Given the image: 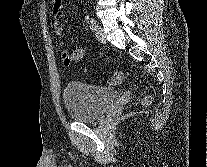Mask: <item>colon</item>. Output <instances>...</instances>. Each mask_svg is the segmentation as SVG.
I'll return each mask as SVG.
<instances>
[{"label":"colon","instance_id":"colon-1","mask_svg":"<svg viewBox=\"0 0 207 167\" xmlns=\"http://www.w3.org/2000/svg\"><path fill=\"white\" fill-rule=\"evenodd\" d=\"M123 80V74L121 72H116L111 78L106 80V83L111 86L118 85ZM152 96H145L142 100V105H149L152 102Z\"/></svg>","mask_w":207,"mask_h":167}]
</instances>
